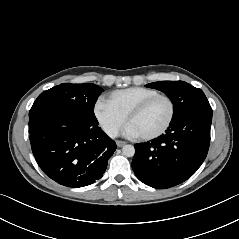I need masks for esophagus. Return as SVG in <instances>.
Wrapping results in <instances>:
<instances>
[{
    "label": "esophagus",
    "mask_w": 239,
    "mask_h": 239,
    "mask_svg": "<svg viewBox=\"0 0 239 239\" xmlns=\"http://www.w3.org/2000/svg\"><path fill=\"white\" fill-rule=\"evenodd\" d=\"M116 144H117L118 147H122V146H124L126 144V142L118 140V141H116Z\"/></svg>",
    "instance_id": "1"
}]
</instances>
